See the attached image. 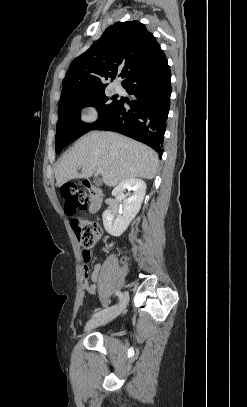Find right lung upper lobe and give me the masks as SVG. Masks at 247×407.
<instances>
[{
    "label": "right lung upper lobe",
    "mask_w": 247,
    "mask_h": 407,
    "mask_svg": "<svg viewBox=\"0 0 247 407\" xmlns=\"http://www.w3.org/2000/svg\"><path fill=\"white\" fill-rule=\"evenodd\" d=\"M165 54L145 25L139 21L117 22L71 63L63 80L59 105L105 90L99 76L113 80L117 73L122 85L135 72L157 64Z\"/></svg>",
    "instance_id": "cb5924a9"
}]
</instances>
